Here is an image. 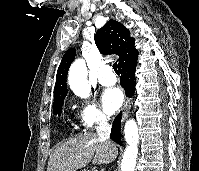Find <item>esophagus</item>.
I'll use <instances>...</instances> for the list:
<instances>
[{"label": "esophagus", "instance_id": "esophagus-1", "mask_svg": "<svg viewBox=\"0 0 199 171\" xmlns=\"http://www.w3.org/2000/svg\"><path fill=\"white\" fill-rule=\"evenodd\" d=\"M130 108H131V99H127L123 107L122 121H124L125 118L128 116Z\"/></svg>", "mask_w": 199, "mask_h": 171}]
</instances>
